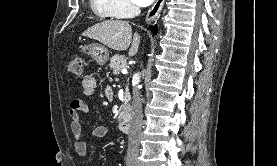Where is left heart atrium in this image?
<instances>
[{"instance_id":"1","label":"left heart atrium","mask_w":277,"mask_h":166,"mask_svg":"<svg viewBox=\"0 0 277 166\" xmlns=\"http://www.w3.org/2000/svg\"><path fill=\"white\" fill-rule=\"evenodd\" d=\"M132 1L138 6L145 7L151 4L154 0H132Z\"/></svg>"}]
</instances>
